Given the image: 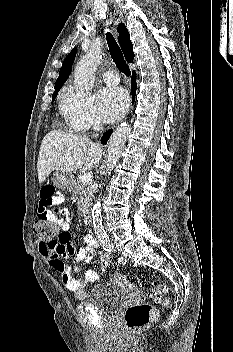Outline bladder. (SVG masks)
<instances>
[{
	"label": "bladder",
	"mask_w": 233,
	"mask_h": 352,
	"mask_svg": "<svg viewBox=\"0 0 233 352\" xmlns=\"http://www.w3.org/2000/svg\"><path fill=\"white\" fill-rule=\"evenodd\" d=\"M125 300L126 295L118 285L103 281L92 289L88 304L105 315L114 316Z\"/></svg>",
	"instance_id": "1"
}]
</instances>
